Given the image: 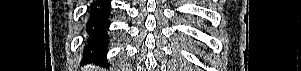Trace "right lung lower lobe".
I'll return each instance as SVG.
<instances>
[{"instance_id":"1","label":"right lung lower lobe","mask_w":301,"mask_h":71,"mask_svg":"<svg viewBox=\"0 0 301 71\" xmlns=\"http://www.w3.org/2000/svg\"><path fill=\"white\" fill-rule=\"evenodd\" d=\"M110 1L97 0L94 1L88 11L87 32L89 39L84 47V59L86 61L96 63H106V55L108 51L109 37L107 30L110 25Z\"/></svg>"}]
</instances>
